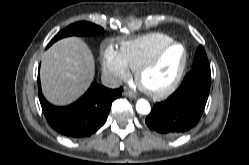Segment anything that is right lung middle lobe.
Masks as SVG:
<instances>
[{
    "instance_id": "dd1d6c3e",
    "label": "right lung middle lobe",
    "mask_w": 249,
    "mask_h": 165,
    "mask_svg": "<svg viewBox=\"0 0 249 165\" xmlns=\"http://www.w3.org/2000/svg\"><path fill=\"white\" fill-rule=\"evenodd\" d=\"M103 30L102 27H99L95 24L89 23V22H77L74 23L70 26H68L67 28H65L64 30L60 31L48 44L47 47H49L52 43H54L55 41L63 38V37H67V36H71V35H80V36H90V35H94L98 32H101Z\"/></svg>"
}]
</instances>
